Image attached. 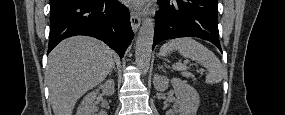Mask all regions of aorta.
Segmentation results:
<instances>
[{
    "label": "aorta",
    "instance_id": "1",
    "mask_svg": "<svg viewBox=\"0 0 285 115\" xmlns=\"http://www.w3.org/2000/svg\"><path fill=\"white\" fill-rule=\"evenodd\" d=\"M153 39L154 21L152 18L147 17L139 30L135 49L137 67L144 74L148 72L150 67Z\"/></svg>",
    "mask_w": 285,
    "mask_h": 115
}]
</instances>
